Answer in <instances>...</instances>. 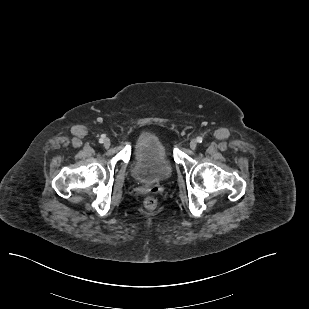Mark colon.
Listing matches in <instances>:
<instances>
[{"mask_svg": "<svg viewBox=\"0 0 309 309\" xmlns=\"http://www.w3.org/2000/svg\"><path fill=\"white\" fill-rule=\"evenodd\" d=\"M144 206L149 209V210H153L156 208L157 206V201L155 198L153 197H147L145 200H144Z\"/></svg>", "mask_w": 309, "mask_h": 309, "instance_id": "colon-1", "label": "colon"}]
</instances>
